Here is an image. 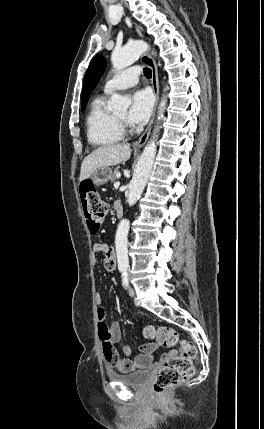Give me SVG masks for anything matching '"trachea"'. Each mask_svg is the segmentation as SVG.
I'll use <instances>...</instances> for the list:
<instances>
[{
    "instance_id": "trachea-1",
    "label": "trachea",
    "mask_w": 264,
    "mask_h": 429,
    "mask_svg": "<svg viewBox=\"0 0 264 429\" xmlns=\"http://www.w3.org/2000/svg\"><path fill=\"white\" fill-rule=\"evenodd\" d=\"M144 75H145L147 78H151V76H152L151 69H150V68H145V69H144Z\"/></svg>"
}]
</instances>
